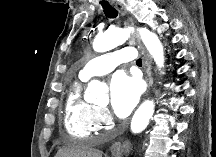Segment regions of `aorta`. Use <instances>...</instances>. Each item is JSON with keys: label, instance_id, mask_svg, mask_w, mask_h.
I'll use <instances>...</instances> for the list:
<instances>
[{"label": "aorta", "instance_id": "obj_1", "mask_svg": "<svg viewBox=\"0 0 216 157\" xmlns=\"http://www.w3.org/2000/svg\"><path fill=\"white\" fill-rule=\"evenodd\" d=\"M131 32V28L110 29L94 39L93 49L100 53L110 51L124 43L130 37ZM139 34L157 67L159 69L164 67V49L158 36L147 28H140ZM85 99L87 101H95L96 103L107 101L108 95L106 87L98 80L91 81L88 84ZM154 109L155 104L153 100H146L139 106L131 121V131L133 133H141L148 126L154 114Z\"/></svg>", "mask_w": 216, "mask_h": 157}]
</instances>
